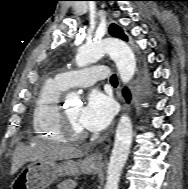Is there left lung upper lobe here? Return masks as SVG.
<instances>
[{"label": "left lung upper lobe", "mask_w": 188, "mask_h": 189, "mask_svg": "<svg viewBox=\"0 0 188 189\" xmlns=\"http://www.w3.org/2000/svg\"><path fill=\"white\" fill-rule=\"evenodd\" d=\"M109 32L114 37L121 38L123 40H127V36L123 33V30L115 24L110 25Z\"/></svg>", "instance_id": "5c2ea615"}]
</instances>
